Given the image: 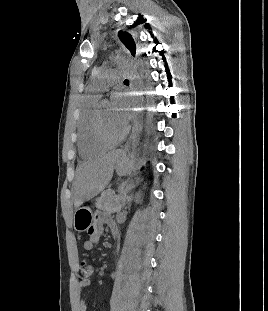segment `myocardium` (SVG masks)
<instances>
[{
  "instance_id": "obj_1",
  "label": "myocardium",
  "mask_w": 268,
  "mask_h": 311,
  "mask_svg": "<svg viewBox=\"0 0 268 311\" xmlns=\"http://www.w3.org/2000/svg\"><path fill=\"white\" fill-rule=\"evenodd\" d=\"M94 133L99 142L102 144L112 146L122 142L129 132V127L124 126L123 131L117 137L108 135L103 126L101 106H97L95 117H94Z\"/></svg>"
}]
</instances>
